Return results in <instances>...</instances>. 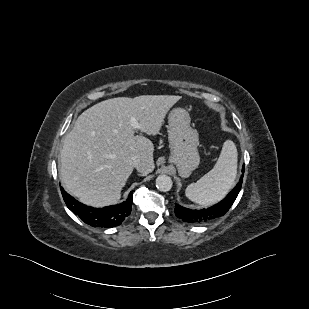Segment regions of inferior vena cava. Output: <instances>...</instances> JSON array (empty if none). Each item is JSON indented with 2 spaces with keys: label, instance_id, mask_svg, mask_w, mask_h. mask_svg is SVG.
I'll list each match as a JSON object with an SVG mask.
<instances>
[{
  "label": "inferior vena cava",
  "instance_id": "602c4592",
  "mask_svg": "<svg viewBox=\"0 0 309 309\" xmlns=\"http://www.w3.org/2000/svg\"><path fill=\"white\" fill-rule=\"evenodd\" d=\"M131 163L137 170H139L142 165L140 158L137 156L131 158Z\"/></svg>",
  "mask_w": 309,
  "mask_h": 309
}]
</instances>
